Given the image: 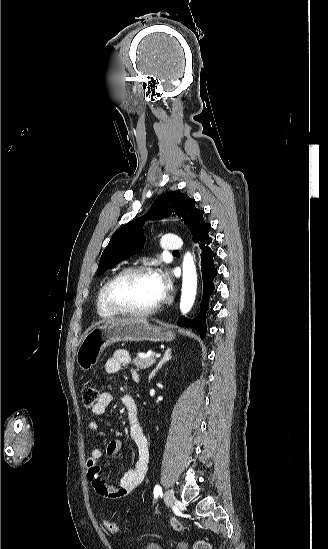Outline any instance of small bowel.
<instances>
[{
	"label": "small bowel",
	"instance_id": "c3829d8e",
	"mask_svg": "<svg viewBox=\"0 0 328 549\" xmlns=\"http://www.w3.org/2000/svg\"><path fill=\"white\" fill-rule=\"evenodd\" d=\"M131 362V356L126 350H116L105 362V372L109 375H114L121 371ZM113 400V396L109 392H103L99 395L96 404L92 407V413L95 416L103 415ZM122 403L127 410L129 423V441L136 448L137 459L134 467L129 468L124 472L118 484H109L103 479L102 469L99 461L104 455L100 448H93L90 457L87 461L88 477L93 487L102 497L107 499H120L130 494L143 481L149 463V443L146 435L143 432L141 425L137 419L136 404L131 396L124 395ZM88 428L92 432H98L100 425L97 421L91 420L88 423ZM124 441L115 439L106 446L105 454L108 457H114L122 448Z\"/></svg>",
	"mask_w": 328,
	"mask_h": 549
}]
</instances>
